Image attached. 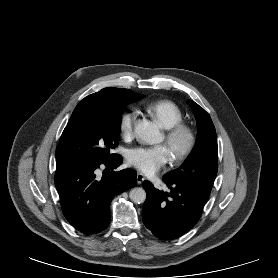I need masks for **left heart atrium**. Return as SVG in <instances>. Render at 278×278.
<instances>
[{
    "mask_svg": "<svg viewBox=\"0 0 278 278\" xmlns=\"http://www.w3.org/2000/svg\"><path fill=\"white\" fill-rule=\"evenodd\" d=\"M128 163L147 175L158 172L169 160V151L164 146L137 147L131 149Z\"/></svg>",
    "mask_w": 278,
    "mask_h": 278,
    "instance_id": "39dd6f15",
    "label": "left heart atrium"
}]
</instances>
